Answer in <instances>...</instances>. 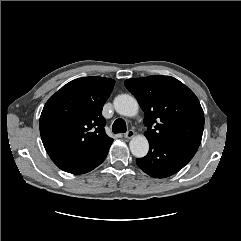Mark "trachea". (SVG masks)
Masks as SVG:
<instances>
[{
    "instance_id": "trachea-1",
    "label": "trachea",
    "mask_w": 241,
    "mask_h": 241,
    "mask_svg": "<svg viewBox=\"0 0 241 241\" xmlns=\"http://www.w3.org/2000/svg\"><path fill=\"white\" fill-rule=\"evenodd\" d=\"M127 130L126 123L123 119L118 118L114 121L112 125V131L113 133H125Z\"/></svg>"
}]
</instances>
